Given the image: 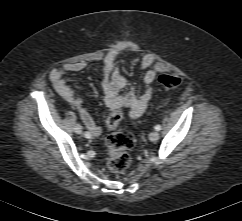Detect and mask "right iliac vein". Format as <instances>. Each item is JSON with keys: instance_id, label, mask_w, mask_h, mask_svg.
<instances>
[{"instance_id": "obj_1", "label": "right iliac vein", "mask_w": 242, "mask_h": 221, "mask_svg": "<svg viewBox=\"0 0 242 221\" xmlns=\"http://www.w3.org/2000/svg\"><path fill=\"white\" fill-rule=\"evenodd\" d=\"M74 130H75V132L77 134H81L82 133V127L80 125H76Z\"/></svg>"}]
</instances>
